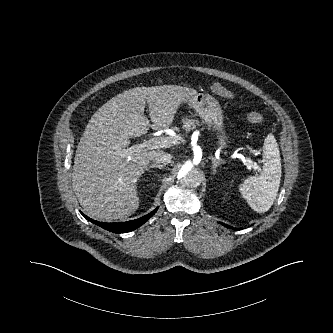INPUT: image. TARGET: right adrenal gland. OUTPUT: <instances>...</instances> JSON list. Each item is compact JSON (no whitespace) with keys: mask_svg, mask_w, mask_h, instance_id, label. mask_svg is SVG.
I'll return each instance as SVG.
<instances>
[{"mask_svg":"<svg viewBox=\"0 0 333 333\" xmlns=\"http://www.w3.org/2000/svg\"><path fill=\"white\" fill-rule=\"evenodd\" d=\"M164 167V165H157V164H152L148 167H146V170L148 171L151 168H158V169H162Z\"/></svg>","mask_w":333,"mask_h":333,"instance_id":"2a0ac1e0","label":"right adrenal gland"}]
</instances>
